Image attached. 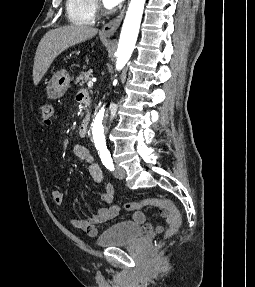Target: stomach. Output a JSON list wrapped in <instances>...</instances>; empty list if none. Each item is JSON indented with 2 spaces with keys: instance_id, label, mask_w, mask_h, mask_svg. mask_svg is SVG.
I'll return each mask as SVG.
<instances>
[{
  "instance_id": "obj_1",
  "label": "stomach",
  "mask_w": 255,
  "mask_h": 287,
  "mask_svg": "<svg viewBox=\"0 0 255 287\" xmlns=\"http://www.w3.org/2000/svg\"><path fill=\"white\" fill-rule=\"evenodd\" d=\"M70 82L71 78L68 72H58V74H55L47 86V96L49 100L62 98L65 92H67V88H70Z\"/></svg>"
}]
</instances>
